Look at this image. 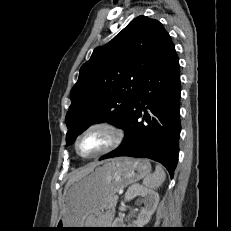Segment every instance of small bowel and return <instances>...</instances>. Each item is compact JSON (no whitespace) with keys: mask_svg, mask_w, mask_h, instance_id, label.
I'll use <instances>...</instances> for the list:
<instances>
[{"mask_svg":"<svg viewBox=\"0 0 231 231\" xmlns=\"http://www.w3.org/2000/svg\"><path fill=\"white\" fill-rule=\"evenodd\" d=\"M112 218V214L110 212H105L103 215H102V219L104 221H108Z\"/></svg>","mask_w":231,"mask_h":231,"instance_id":"obj_1","label":"small bowel"}]
</instances>
